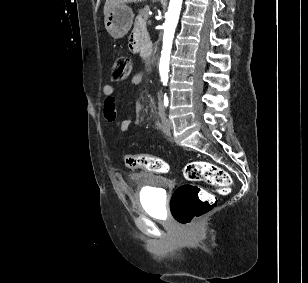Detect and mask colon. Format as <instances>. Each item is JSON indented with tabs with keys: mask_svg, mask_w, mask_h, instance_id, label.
I'll return each instance as SVG.
<instances>
[{
	"mask_svg": "<svg viewBox=\"0 0 308 283\" xmlns=\"http://www.w3.org/2000/svg\"><path fill=\"white\" fill-rule=\"evenodd\" d=\"M132 69L131 59L118 57L112 67V79H126ZM125 165L130 169H145L156 173H166L169 165L162 159L149 154H128L124 157ZM184 177L190 182H205L219 193H229L232 180L222 167L205 162L192 161L184 168ZM171 212L174 219L184 226H189L210 213L216 206L215 195L195 183L180 185L173 193Z\"/></svg>",
	"mask_w": 308,
	"mask_h": 283,
	"instance_id": "1",
	"label": "colon"
}]
</instances>
